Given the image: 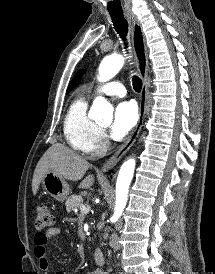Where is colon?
Masks as SVG:
<instances>
[{
	"label": "colon",
	"instance_id": "5ec220e1",
	"mask_svg": "<svg viewBox=\"0 0 215 274\" xmlns=\"http://www.w3.org/2000/svg\"><path fill=\"white\" fill-rule=\"evenodd\" d=\"M36 219H35V229L38 232H42L49 229L54 224V216L51 213L49 206L45 203H41L36 208Z\"/></svg>",
	"mask_w": 215,
	"mask_h": 274
}]
</instances>
